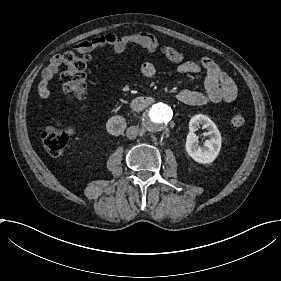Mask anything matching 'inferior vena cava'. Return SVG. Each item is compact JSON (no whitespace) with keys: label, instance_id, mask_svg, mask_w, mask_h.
I'll use <instances>...</instances> for the list:
<instances>
[{"label":"inferior vena cava","instance_id":"602c4592","mask_svg":"<svg viewBox=\"0 0 281 281\" xmlns=\"http://www.w3.org/2000/svg\"><path fill=\"white\" fill-rule=\"evenodd\" d=\"M139 132V128L137 126H130L126 131V136L129 139H134L137 137Z\"/></svg>","mask_w":281,"mask_h":281}]
</instances>
